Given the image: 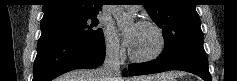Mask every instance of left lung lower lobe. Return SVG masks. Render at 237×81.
<instances>
[{
    "mask_svg": "<svg viewBox=\"0 0 237 81\" xmlns=\"http://www.w3.org/2000/svg\"><path fill=\"white\" fill-rule=\"evenodd\" d=\"M128 68L132 75L182 70L193 73L204 81H211L203 40L188 43L171 55L161 53L156 60L150 62L130 64Z\"/></svg>",
    "mask_w": 237,
    "mask_h": 81,
    "instance_id": "1",
    "label": "left lung lower lobe"
}]
</instances>
